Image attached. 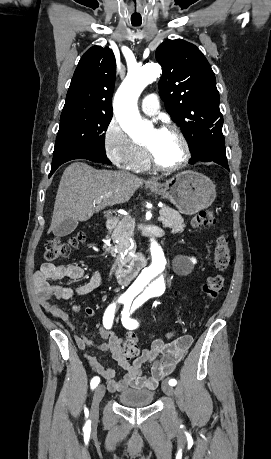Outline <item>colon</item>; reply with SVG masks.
Listing matches in <instances>:
<instances>
[{"mask_svg": "<svg viewBox=\"0 0 271 459\" xmlns=\"http://www.w3.org/2000/svg\"><path fill=\"white\" fill-rule=\"evenodd\" d=\"M214 222L211 211L204 210L196 214L192 219V227L202 229L210 226ZM85 239L84 234L79 233L75 236L63 240L53 238L45 244V259L55 261L67 257ZM233 264V256L229 247V241L225 234H220L216 239L214 249V265L218 271L224 272ZM224 278L221 275L209 277L203 286L204 293L211 299L217 298L223 291ZM139 354L138 337L134 332L127 334L123 344L121 355L124 360L129 361Z\"/></svg>", "mask_w": 271, "mask_h": 459, "instance_id": "obj_1", "label": "colon"}]
</instances>
